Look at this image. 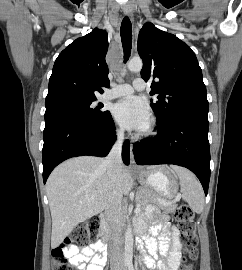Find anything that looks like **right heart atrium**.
I'll list each match as a JSON object with an SVG mask.
<instances>
[{"label": "right heart atrium", "instance_id": "d8ad5b80", "mask_svg": "<svg viewBox=\"0 0 242 270\" xmlns=\"http://www.w3.org/2000/svg\"><path fill=\"white\" fill-rule=\"evenodd\" d=\"M115 133L117 136H122L123 135V129L120 126L115 127Z\"/></svg>", "mask_w": 242, "mask_h": 270}]
</instances>
